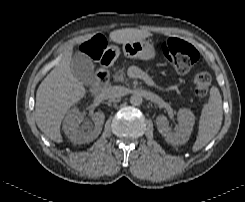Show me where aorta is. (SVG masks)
<instances>
[{"instance_id":"1","label":"aorta","mask_w":245,"mask_h":202,"mask_svg":"<svg viewBox=\"0 0 245 202\" xmlns=\"http://www.w3.org/2000/svg\"><path fill=\"white\" fill-rule=\"evenodd\" d=\"M142 102H143L142 96L138 93H135L130 97V103L133 106H139L142 104Z\"/></svg>"}]
</instances>
